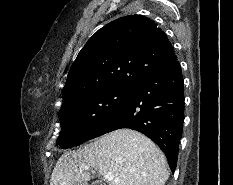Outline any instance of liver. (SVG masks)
Wrapping results in <instances>:
<instances>
[{"label": "liver", "mask_w": 233, "mask_h": 185, "mask_svg": "<svg viewBox=\"0 0 233 185\" xmlns=\"http://www.w3.org/2000/svg\"><path fill=\"white\" fill-rule=\"evenodd\" d=\"M89 165L100 175L111 173L109 185H164L169 178L168 164L160 148L145 135L130 129L105 134L77 151L58 159L50 185H88Z\"/></svg>", "instance_id": "obj_1"}]
</instances>
